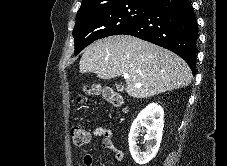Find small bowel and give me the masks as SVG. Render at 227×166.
I'll return each instance as SVG.
<instances>
[{"mask_svg":"<svg viewBox=\"0 0 227 166\" xmlns=\"http://www.w3.org/2000/svg\"><path fill=\"white\" fill-rule=\"evenodd\" d=\"M93 134L95 137L101 139V145L103 148L110 150L114 159L117 162H122L125 158L124 151L118 149L113 142L115 137L114 132L106 127L98 126L93 130ZM83 164L80 166H95V160L90 154H85L82 158Z\"/></svg>","mask_w":227,"mask_h":166,"instance_id":"1","label":"small bowel"}]
</instances>
